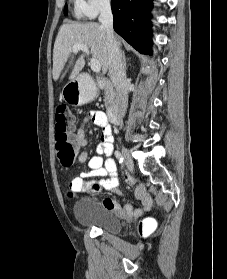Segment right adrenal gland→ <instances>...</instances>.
I'll list each match as a JSON object with an SVG mask.
<instances>
[{
  "instance_id": "2a0ac1e0",
  "label": "right adrenal gland",
  "mask_w": 227,
  "mask_h": 279,
  "mask_svg": "<svg viewBox=\"0 0 227 279\" xmlns=\"http://www.w3.org/2000/svg\"><path fill=\"white\" fill-rule=\"evenodd\" d=\"M122 59H123L124 68L126 69V64H127V61H128L129 59H126V57H125V52H124V51L122 52Z\"/></svg>"
}]
</instances>
